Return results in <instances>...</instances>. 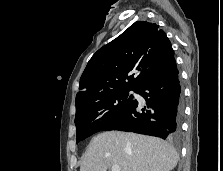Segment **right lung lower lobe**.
<instances>
[{
	"instance_id": "obj_1",
	"label": "right lung lower lobe",
	"mask_w": 223,
	"mask_h": 171,
	"mask_svg": "<svg viewBox=\"0 0 223 171\" xmlns=\"http://www.w3.org/2000/svg\"><path fill=\"white\" fill-rule=\"evenodd\" d=\"M147 103L139 110L138 101L102 131L121 130L175 140L179 137L182 94L175 59L135 91Z\"/></svg>"
}]
</instances>
